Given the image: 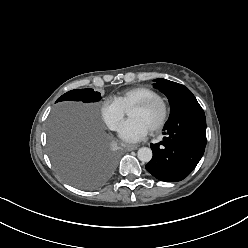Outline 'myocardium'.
<instances>
[{"label":"myocardium","instance_id":"1","mask_svg":"<svg viewBox=\"0 0 248 248\" xmlns=\"http://www.w3.org/2000/svg\"><path fill=\"white\" fill-rule=\"evenodd\" d=\"M154 105H158L160 107V116L158 120L149 128V131L158 132L165 126L170 114L169 105L162 96L154 95L146 98L132 105L130 109L146 110Z\"/></svg>","mask_w":248,"mask_h":248}]
</instances>
